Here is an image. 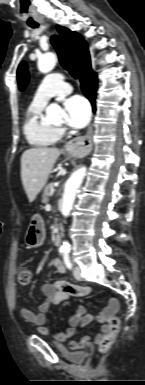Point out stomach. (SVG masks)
<instances>
[{
    "instance_id": "1",
    "label": "stomach",
    "mask_w": 145,
    "mask_h": 385,
    "mask_svg": "<svg viewBox=\"0 0 145 385\" xmlns=\"http://www.w3.org/2000/svg\"><path fill=\"white\" fill-rule=\"evenodd\" d=\"M45 236L46 234L43 220L38 216H34L25 234V242L27 246L30 248L41 246L45 240Z\"/></svg>"
}]
</instances>
